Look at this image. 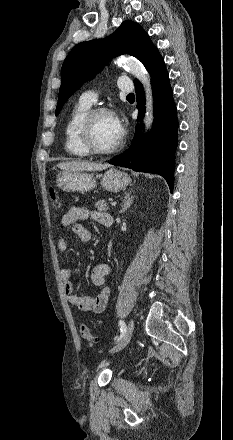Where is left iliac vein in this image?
<instances>
[{"instance_id":"left-iliac-vein-1","label":"left iliac vein","mask_w":233,"mask_h":440,"mask_svg":"<svg viewBox=\"0 0 233 440\" xmlns=\"http://www.w3.org/2000/svg\"><path fill=\"white\" fill-rule=\"evenodd\" d=\"M133 331H134V321H133V319H131L128 323L126 333H125L123 339L115 347H113L109 351V353H115V352L122 350L129 343V341L132 337Z\"/></svg>"}]
</instances>
